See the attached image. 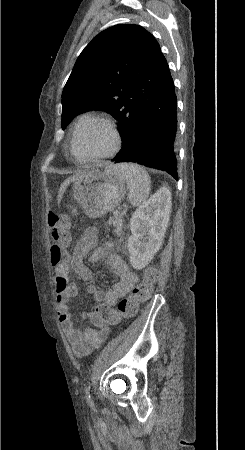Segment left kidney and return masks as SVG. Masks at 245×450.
Segmentation results:
<instances>
[{"mask_svg":"<svg viewBox=\"0 0 245 450\" xmlns=\"http://www.w3.org/2000/svg\"><path fill=\"white\" fill-rule=\"evenodd\" d=\"M171 212V192L160 188L133 213L128 238L129 261L140 270L161 248Z\"/></svg>","mask_w":245,"mask_h":450,"instance_id":"left-kidney-1","label":"left kidney"}]
</instances>
